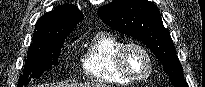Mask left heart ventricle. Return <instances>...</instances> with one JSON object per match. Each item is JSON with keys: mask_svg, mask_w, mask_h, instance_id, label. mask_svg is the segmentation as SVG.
Listing matches in <instances>:
<instances>
[{"mask_svg": "<svg viewBox=\"0 0 205 87\" xmlns=\"http://www.w3.org/2000/svg\"><path fill=\"white\" fill-rule=\"evenodd\" d=\"M126 69L136 77L144 76L149 69V62L143 52L136 48H130L124 55Z\"/></svg>", "mask_w": 205, "mask_h": 87, "instance_id": "b2bd125f", "label": "left heart ventricle"}]
</instances>
